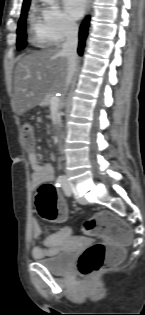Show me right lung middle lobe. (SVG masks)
I'll list each match as a JSON object with an SVG mask.
<instances>
[{
  "mask_svg": "<svg viewBox=\"0 0 145 315\" xmlns=\"http://www.w3.org/2000/svg\"><path fill=\"white\" fill-rule=\"evenodd\" d=\"M29 6L22 7L21 17L18 23L17 28V48L19 50L23 49L26 46V16Z\"/></svg>",
  "mask_w": 145,
  "mask_h": 315,
  "instance_id": "dd1d6c3e",
  "label": "right lung middle lobe"
}]
</instances>
